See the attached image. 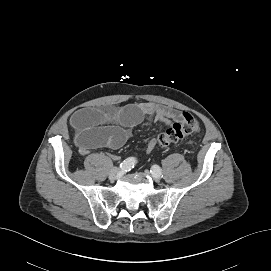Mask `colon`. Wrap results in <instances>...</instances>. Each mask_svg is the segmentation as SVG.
I'll list each match as a JSON object with an SVG mask.
<instances>
[{
    "mask_svg": "<svg viewBox=\"0 0 271 271\" xmlns=\"http://www.w3.org/2000/svg\"><path fill=\"white\" fill-rule=\"evenodd\" d=\"M198 129V120L190 113L183 112L181 120L177 121L161 133L156 138V143L161 147H165L197 132Z\"/></svg>",
    "mask_w": 271,
    "mask_h": 271,
    "instance_id": "obj_1",
    "label": "colon"
}]
</instances>
